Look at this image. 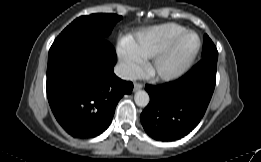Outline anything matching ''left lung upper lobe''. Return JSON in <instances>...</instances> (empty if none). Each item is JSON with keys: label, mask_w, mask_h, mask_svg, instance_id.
I'll return each mask as SVG.
<instances>
[{"label": "left lung upper lobe", "mask_w": 261, "mask_h": 162, "mask_svg": "<svg viewBox=\"0 0 261 162\" xmlns=\"http://www.w3.org/2000/svg\"><path fill=\"white\" fill-rule=\"evenodd\" d=\"M204 57H218V51L208 37V35H204V43H203V51H202V58Z\"/></svg>", "instance_id": "left-lung-upper-lobe-1"}]
</instances>
